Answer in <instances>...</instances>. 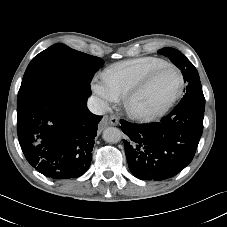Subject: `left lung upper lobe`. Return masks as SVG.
I'll return each mask as SVG.
<instances>
[{"label":"left lung upper lobe","mask_w":227,"mask_h":227,"mask_svg":"<svg viewBox=\"0 0 227 227\" xmlns=\"http://www.w3.org/2000/svg\"><path fill=\"white\" fill-rule=\"evenodd\" d=\"M158 53L170 58V60L181 70L184 81L188 84L186 87V94L179 104L198 103L205 105V98L199 74L188 58L177 49L170 47L160 49Z\"/></svg>","instance_id":"5c2ea615"}]
</instances>
